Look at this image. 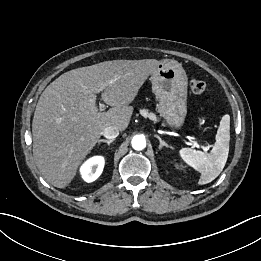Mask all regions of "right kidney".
Here are the masks:
<instances>
[{"instance_id": "obj_1", "label": "right kidney", "mask_w": 261, "mask_h": 261, "mask_svg": "<svg viewBox=\"0 0 261 261\" xmlns=\"http://www.w3.org/2000/svg\"><path fill=\"white\" fill-rule=\"evenodd\" d=\"M104 158L102 156H94L88 159L80 168V173L84 181L93 182L102 173L104 168Z\"/></svg>"}]
</instances>
